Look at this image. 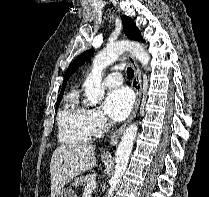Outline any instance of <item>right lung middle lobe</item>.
<instances>
[{
  "instance_id": "obj_1",
  "label": "right lung middle lobe",
  "mask_w": 209,
  "mask_h": 197,
  "mask_svg": "<svg viewBox=\"0 0 209 197\" xmlns=\"http://www.w3.org/2000/svg\"><path fill=\"white\" fill-rule=\"evenodd\" d=\"M61 99H58L57 104H56V108L59 106Z\"/></svg>"
}]
</instances>
